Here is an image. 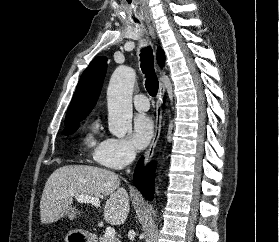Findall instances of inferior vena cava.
<instances>
[{"label":"inferior vena cava","instance_id":"inferior-vena-cava-1","mask_svg":"<svg viewBox=\"0 0 279 242\" xmlns=\"http://www.w3.org/2000/svg\"><path fill=\"white\" fill-rule=\"evenodd\" d=\"M135 156H136L135 150H131L128 156V163H131L135 159ZM127 172H130V170H128Z\"/></svg>","mask_w":279,"mask_h":242}]
</instances>
